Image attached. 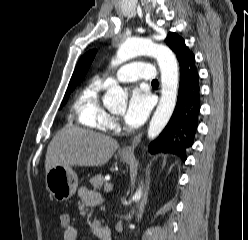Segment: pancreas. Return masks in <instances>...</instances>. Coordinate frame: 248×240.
<instances>
[{"label":"pancreas","mask_w":248,"mask_h":240,"mask_svg":"<svg viewBox=\"0 0 248 240\" xmlns=\"http://www.w3.org/2000/svg\"><path fill=\"white\" fill-rule=\"evenodd\" d=\"M91 185L94 187V189H101L102 185L104 184V176L99 174L95 177L91 178L90 181Z\"/></svg>","instance_id":"pancreas-1"}]
</instances>
